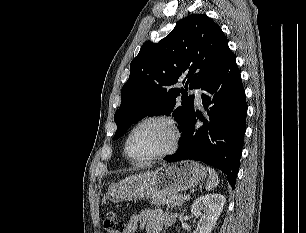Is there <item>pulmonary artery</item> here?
Here are the masks:
<instances>
[{"label":"pulmonary artery","instance_id":"e3ab8cb5","mask_svg":"<svg viewBox=\"0 0 306 233\" xmlns=\"http://www.w3.org/2000/svg\"><path fill=\"white\" fill-rule=\"evenodd\" d=\"M191 93L194 94L195 96V100L197 102L198 105H201V94H202V90L197 88V89H193L191 90Z\"/></svg>","mask_w":306,"mask_h":233}]
</instances>
